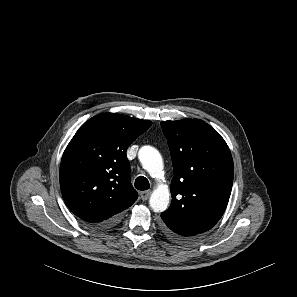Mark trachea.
<instances>
[{
  "mask_svg": "<svg viewBox=\"0 0 297 297\" xmlns=\"http://www.w3.org/2000/svg\"><path fill=\"white\" fill-rule=\"evenodd\" d=\"M135 188L138 190H147L150 188L148 180L144 176H139L135 180Z\"/></svg>",
  "mask_w": 297,
  "mask_h": 297,
  "instance_id": "3493384b",
  "label": "trachea"
}]
</instances>
